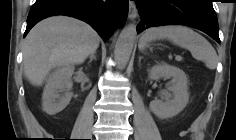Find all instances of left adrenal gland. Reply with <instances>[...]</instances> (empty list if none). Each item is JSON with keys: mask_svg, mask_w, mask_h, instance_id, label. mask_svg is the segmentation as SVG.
Wrapping results in <instances>:
<instances>
[{"mask_svg": "<svg viewBox=\"0 0 236 140\" xmlns=\"http://www.w3.org/2000/svg\"><path fill=\"white\" fill-rule=\"evenodd\" d=\"M141 59H142V57H139V65H140V63H141Z\"/></svg>", "mask_w": 236, "mask_h": 140, "instance_id": "1", "label": "left adrenal gland"}]
</instances>
